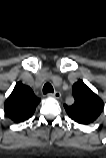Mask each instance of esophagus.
<instances>
[{
    "mask_svg": "<svg viewBox=\"0 0 106 158\" xmlns=\"http://www.w3.org/2000/svg\"><path fill=\"white\" fill-rule=\"evenodd\" d=\"M48 96L54 97L55 99H60L61 93L58 90H55L53 93H49Z\"/></svg>",
    "mask_w": 106,
    "mask_h": 158,
    "instance_id": "1",
    "label": "esophagus"
}]
</instances>
